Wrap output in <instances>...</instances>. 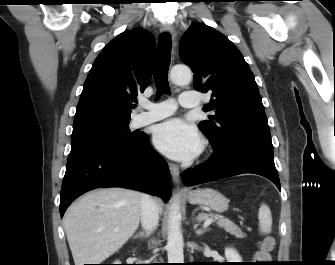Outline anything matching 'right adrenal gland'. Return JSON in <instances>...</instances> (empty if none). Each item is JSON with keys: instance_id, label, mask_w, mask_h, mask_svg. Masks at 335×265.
I'll list each match as a JSON object with an SVG mask.
<instances>
[{"instance_id": "right-adrenal-gland-1", "label": "right adrenal gland", "mask_w": 335, "mask_h": 265, "mask_svg": "<svg viewBox=\"0 0 335 265\" xmlns=\"http://www.w3.org/2000/svg\"><path fill=\"white\" fill-rule=\"evenodd\" d=\"M150 235L149 232H139L138 234H136L133 238H147Z\"/></svg>"}]
</instances>
